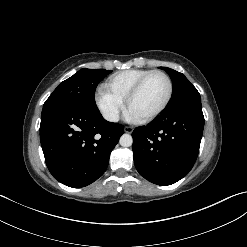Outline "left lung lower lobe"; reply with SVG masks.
<instances>
[{
	"mask_svg": "<svg viewBox=\"0 0 247 247\" xmlns=\"http://www.w3.org/2000/svg\"><path fill=\"white\" fill-rule=\"evenodd\" d=\"M204 127L201 102H187L166 109L147 126L133 133L137 171L157 185H171L192 169Z\"/></svg>",
	"mask_w": 247,
	"mask_h": 247,
	"instance_id": "left-lung-lower-lobe-1",
	"label": "left lung lower lobe"
}]
</instances>
